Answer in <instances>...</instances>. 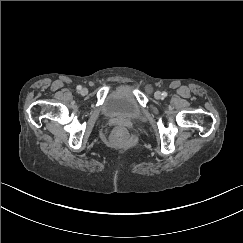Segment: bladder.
<instances>
[{
	"mask_svg": "<svg viewBox=\"0 0 243 243\" xmlns=\"http://www.w3.org/2000/svg\"><path fill=\"white\" fill-rule=\"evenodd\" d=\"M101 114L110 119L142 120L144 110L135 94V87L125 83L110 91L100 105Z\"/></svg>",
	"mask_w": 243,
	"mask_h": 243,
	"instance_id": "1",
	"label": "bladder"
}]
</instances>
